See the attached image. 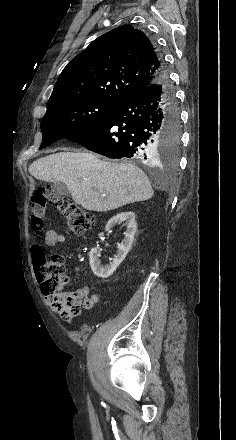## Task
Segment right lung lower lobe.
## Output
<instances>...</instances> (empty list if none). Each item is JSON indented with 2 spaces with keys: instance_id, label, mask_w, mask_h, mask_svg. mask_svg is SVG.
<instances>
[{
  "instance_id": "obj_1",
  "label": "right lung lower lobe",
  "mask_w": 236,
  "mask_h": 440,
  "mask_svg": "<svg viewBox=\"0 0 236 440\" xmlns=\"http://www.w3.org/2000/svg\"><path fill=\"white\" fill-rule=\"evenodd\" d=\"M158 61L162 75L155 82L122 102L91 128L67 139L109 158L152 162L153 149L161 134L166 129L179 128L180 124L174 94L159 54Z\"/></svg>"
}]
</instances>
